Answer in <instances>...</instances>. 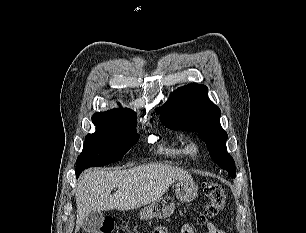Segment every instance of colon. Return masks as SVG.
Returning a JSON list of instances; mask_svg holds the SVG:
<instances>
[{
  "label": "colon",
  "instance_id": "5ec220e1",
  "mask_svg": "<svg viewBox=\"0 0 306 233\" xmlns=\"http://www.w3.org/2000/svg\"><path fill=\"white\" fill-rule=\"evenodd\" d=\"M202 192L207 198V203L204 206L203 218L216 217L225 206L226 196L221 185L214 181H205L202 183ZM116 230V222L114 219H106L98 231L95 233H114ZM158 233V232H154Z\"/></svg>",
  "mask_w": 306,
  "mask_h": 233
}]
</instances>
